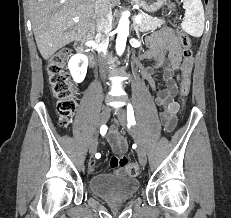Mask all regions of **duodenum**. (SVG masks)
<instances>
[{"label": "duodenum", "instance_id": "1", "mask_svg": "<svg viewBox=\"0 0 231 218\" xmlns=\"http://www.w3.org/2000/svg\"><path fill=\"white\" fill-rule=\"evenodd\" d=\"M88 39H89V35H85L81 38H78L74 43V47L78 53L84 54L87 56L89 65L93 67L95 64V61H94L93 56L88 53V47H87Z\"/></svg>", "mask_w": 231, "mask_h": 218}]
</instances>
